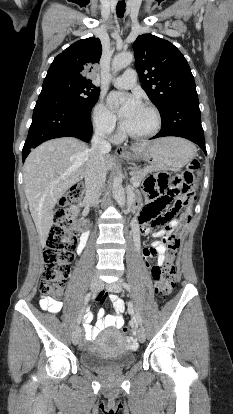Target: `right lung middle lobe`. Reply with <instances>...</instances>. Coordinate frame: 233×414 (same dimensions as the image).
Listing matches in <instances>:
<instances>
[{"instance_id":"dd1d6c3e","label":"right lung middle lobe","mask_w":233,"mask_h":414,"mask_svg":"<svg viewBox=\"0 0 233 414\" xmlns=\"http://www.w3.org/2000/svg\"><path fill=\"white\" fill-rule=\"evenodd\" d=\"M100 89L92 83L61 76L46 77L39 99H51L80 110L91 111L99 98Z\"/></svg>"}]
</instances>
